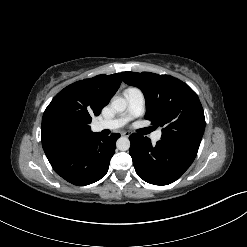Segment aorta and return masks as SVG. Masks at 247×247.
Instances as JSON below:
<instances>
[{"label":"aorta","mask_w":247,"mask_h":247,"mask_svg":"<svg viewBox=\"0 0 247 247\" xmlns=\"http://www.w3.org/2000/svg\"><path fill=\"white\" fill-rule=\"evenodd\" d=\"M111 107L117 112H123L127 107V101L124 98L116 97L112 100ZM116 146L120 151H126L130 148V140L127 137H120Z\"/></svg>","instance_id":"obj_1"}]
</instances>
